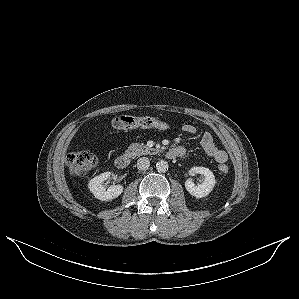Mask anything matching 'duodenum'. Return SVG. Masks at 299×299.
<instances>
[{
    "label": "duodenum",
    "instance_id": "obj_1",
    "mask_svg": "<svg viewBox=\"0 0 299 299\" xmlns=\"http://www.w3.org/2000/svg\"><path fill=\"white\" fill-rule=\"evenodd\" d=\"M184 154H185V149L183 147H172L167 151V157L171 159L181 157ZM130 162H131L130 155L121 154L116 157L115 166L118 169H126L130 165Z\"/></svg>",
    "mask_w": 299,
    "mask_h": 299
}]
</instances>
